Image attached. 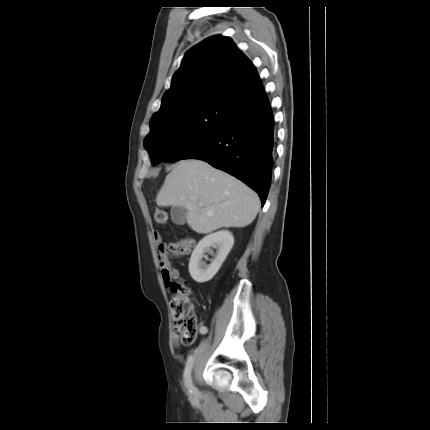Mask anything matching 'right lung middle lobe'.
Segmentation results:
<instances>
[{
    "mask_svg": "<svg viewBox=\"0 0 430 430\" xmlns=\"http://www.w3.org/2000/svg\"><path fill=\"white\" fill-rule=\"evenodd\" d=\"M229 113L219 102H206L151 124L144 146L152 164L183 159L219 133Z\"/></svg>",
    "mask_w": 430,
    "mask_h": 430,
    "instance_id": "dd1d6c3e",
    "label": "right lung middle lobe"
}]
</instances>
